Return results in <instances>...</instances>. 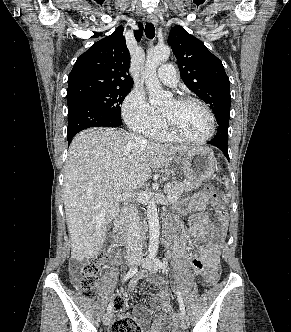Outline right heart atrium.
<instances>
[{
	"instance_id": "right-heart-atrium-1",
	"label": "right heart atrium",
	"mask_w": 291,
	"mask_h": 332,
	"mask_svg": "<svg viewBox=\"0 0 291 332\" xmlns=\"http://www.w3.org/2000/svg\"><path fill=\"white\" fill-rule=\"evenodd\" d=\"M122 115L129 128L144 134L162 124L158 111L149 104L145 95L138 89L132 90L124 100Z\"/></svg>"
}]
</instances>
